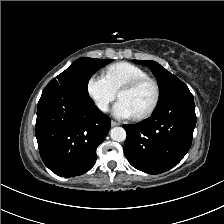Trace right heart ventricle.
<instances>
[{
	"label": "right heart ventricle",
	"mask_w": 224,
	"mask_h": 224,
	"mask_svg": "<svg viewBox=\"0 0 224 224\" xmlns=\"http://www.w3.org/2000/svg\"><path fill=\"white\" fill-rule=\"evenodd\" d=\"M103 76L111 88L117 92L125 83L136 78L146 77L148 75L145 70L134 64L119 62L108 66L105 69Z\"/></svg>",
	"instance_id": "e07e8e85"
}]
</instances>
